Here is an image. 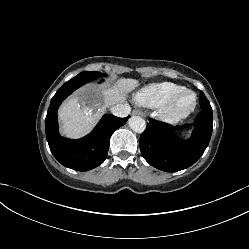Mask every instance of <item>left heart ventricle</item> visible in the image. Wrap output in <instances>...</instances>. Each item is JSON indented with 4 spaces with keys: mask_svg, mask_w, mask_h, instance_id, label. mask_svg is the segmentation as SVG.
Segmentation results:
<instances>
[{
    "mask_svg": "<svg viewBox=\"0 0 249 249\" xmlns=\"http://www.w3.org/2000/svg\"><path fill=\"white\" fill-rule=\"evenodd\" d=\"M191 102V97L188 94H184L180 97L178 101V107L184 108Z\"/></svg>",
    "mask_w": 249,
    "mask_h": 249,
    "instance_id": "1",
    "label": "left heart ventricle"
}]
</instances>
